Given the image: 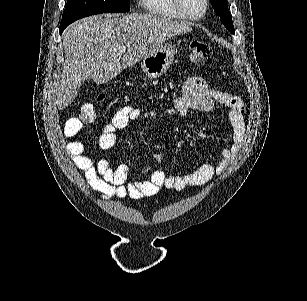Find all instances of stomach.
Instances as JSON below:
<instances>
[{
  "instance_id": "stomach-1",
  "label": "stomach",
  "mask_w": 307,
  "mask_h": 301,
  "mask_svg": "<svg viewBox=\"0 0 307 301\" xmlns=\"http://www.w3.org/2000/svg\"><path fill=\"white\" fill-rule=\"evenodd\" d=\"M175 44L163 42L158 50L151 52L141 60V70L146 78H158L168 70L176 54Z\"/></svg>"
}]
</instances>
